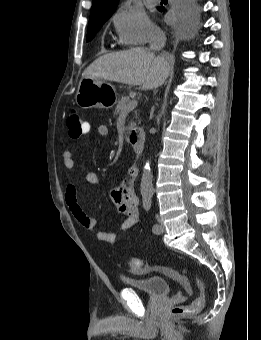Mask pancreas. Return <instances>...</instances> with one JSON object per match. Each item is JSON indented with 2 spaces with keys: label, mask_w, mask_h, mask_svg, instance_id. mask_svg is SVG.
<instances>
[{
  "label": "pancreas",
  "mask_w": 261,
  "mask_h": 340,
  "mask_svg": "<svg viewBox=\"0 0 261 340\" xmlns=\"http://www.w3.org/2000/svg\"><path fill=\"white\" fill-rule=\"evenodd\" d=\"M130 102V98L127 96H124L121 98L120 101H118V104L116 106V113H128L130 110L128 109V104ZM136 126V124L134 122L130 123V126L127 127L128 130L134 128Z\"/></svg>",
  "instance_id": "cf45deb5"
}]
</instances>
